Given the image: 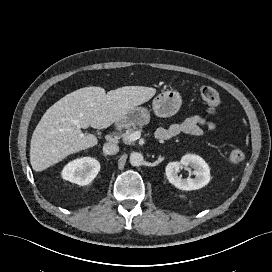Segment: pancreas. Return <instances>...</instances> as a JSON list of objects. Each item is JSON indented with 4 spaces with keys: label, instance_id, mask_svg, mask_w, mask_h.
<instances>
[{
    "label": "pancreas",
    "instance_id": "1",
    "mask_svg": "<svg viewBox=\"0 0 272 272\" xmlns=\"http://www.w3.org/2000/svg\"><path fill=\"white\" fill-rule=\"evenodd\" d=\"M142 127H136V126H127V130L125 131V133L122 134L123 140L127 143H131L132 141H130L129 139H127V137L132 134L133 132H135L136 130L141 131Z\"/></svg>",
    "mask_w": 272,
    "mask_h": 272
}]
</instances>
